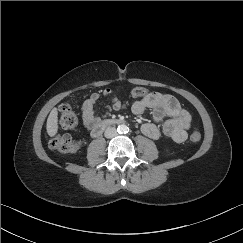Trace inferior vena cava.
<instances>
[{
    "mask_svg": "<svg viewBox=\"0 0 243 243\" xmlns=\"http://www.w3.org/2000/svg\"><path fill=\"white\" fill-rule=\"evenodd\" d=\"M106 138H113L117 135V130L115 127H108L104 133Z\"/></svg>",
    "mask_w": 243,
    "mask_h": 243,
    "instance_id": "602c4592",
    "label": "inferior vena cava"
}]
</instances>
